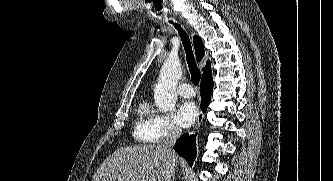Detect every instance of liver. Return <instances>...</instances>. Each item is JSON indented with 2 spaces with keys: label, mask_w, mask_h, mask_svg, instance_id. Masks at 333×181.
I'll return each mask as SVG.
<instances>
[{
  "label": "liver",
  "mask_w": 333,
  "mask_h": 181,
  "mask_svg": "<svg viewBox=\"0 0 333 181\" xmlns=\"http://www.w3.org/2000/svg\"><path fill=\"white\" fill-rule=\"evenodd\" d=\"M178 162L160 144L118 148L97 169L92 181H166Z\"/></svg>",
  "instance_id": "6515ba94"
}]
</instances>
